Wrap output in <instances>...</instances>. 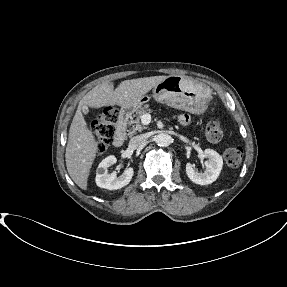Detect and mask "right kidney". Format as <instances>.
Segmentation results:
<instances>
[{
	"instance_id": "obj_1",
	"label": "right kidney",
	"mask_w": 287,
	"mask_h": 287,
	"mask_svg": "<svg viewBox=\"0 0 287 287\" xmlns=\"http://www.w3.org/2000/svg\"><path fill=\"white\" fill-rule=\"evenodd\" d=\"M116 161V157L110 155L98 165L95 178L97 186L108 190H117L129 184L134 173L133 168H127L119 177L116 176V172H108V168Z\"/></svg>"
}]
</instances>
